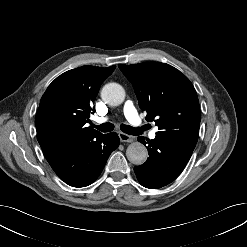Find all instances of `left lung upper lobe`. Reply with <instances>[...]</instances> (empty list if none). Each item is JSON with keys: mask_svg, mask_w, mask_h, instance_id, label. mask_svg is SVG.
<instances>
[{"mask_svg": "<svg viewBox=\"0 0 247 247\" xmlns=\"http://www.w3.org/2000/svg\"><path fill=\"white\" fill-rule=\"evenodd\" d=\"M119 68L135 89L146 120H155L160 137H183L197 143L201 120L199 101L192 83L176 68L159 62Z\"/></svg>", "mask_w": 247, "mask_h": 247, "instance_id": "left-lung-upper-lobe-1", "label": "left lung upper lobe"}]
</instances>
